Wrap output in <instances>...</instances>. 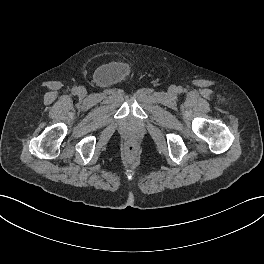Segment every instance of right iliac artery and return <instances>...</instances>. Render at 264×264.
Returning <instances> with one entry per match:
<instances>
[{
  "label": "right iliac artery",
  "instance_id": "82829eb1",
  "mask_svg": "<svg viewBox=\"0 0 264 264\" xmlns=\"http://www.w3.org/2000/svg\"><path fill=\"white\" fill-rule=\"evenodd\" d=\"M78 91H79L78 87H74V88L72 89L73 94H77Z\"/></svg>",
  "mask_w": 264,
  "mask_h": 264
}]
</instances>
